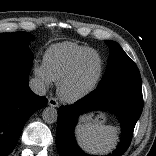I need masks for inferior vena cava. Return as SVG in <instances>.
Returning <instances> with one entry per match:
<instances>
[{
    "mask_svg": "<svg viewBox=\"0 0 156 156\" xmlns=\"http://www.w3.org/2000/svg\"><path fill=\"white\" fill-rule=\"evenodd\" d=\"M29 87L36 95L43 96L46 94V85L41 79L32 78L29 81Z\"/></svg>",
    "mask_w": 156,
    "mask_h": 156,
    "instance_id": "obj_1",
    "label": "inferior vena cava"
}]
</instances>
